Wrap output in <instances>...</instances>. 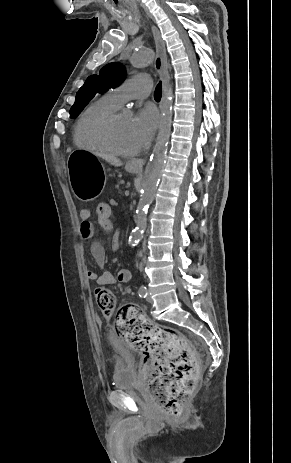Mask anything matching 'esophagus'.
<instances>
[{
	"label": "esophagus",
	"instance_id": "obj_1",
	"mask_svg": "<svg viewBox=\"0 0 291 463\" xmlns=\"http://www.w3.org/2000/svg\"><path fill=\"white\" fill-rule=\"evenodd\" d=\"M152 32L156 44V58L154 61V66L161 77L163 83V92L165 94L168 87L167 54L165 43L161 38L159 30L155 26H152ZM145 161L146 160L143 158L132 159L129 161V164L141 168L145 164Z\"/></svg>",
	"mask_w": 291,
	"mask_h": 463
}]
</instances>
